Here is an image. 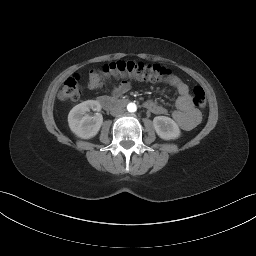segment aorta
I'll use <instances>...</instances> for the list:
<instances>
[{
	"instance_id": "obj_1",
	"label": "aorta",
	"mask_w": 256,
	"mask_h": 256,
	"mask_svg": "<svg viewBox=\"0 0 256 256\" xmlns=\"http://www.w3.org/2000/svg\"><path fill=\"white\" fill-rule=\"evenodd\" d=\"M127 110H128V112H136V110H137V106H136V104L135 103H129L128 105H127Z\"/></svg>"
}]
</instances>
